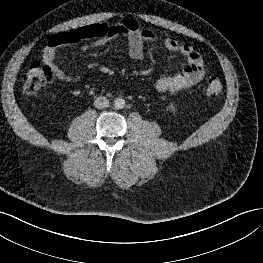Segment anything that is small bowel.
<instances>
[{"label":"small bowel","instance_id":"obj_1","mask_svg":"<svg viewBox=\"0 0 263 263\" xmlns=\"http://www.w3.org/2000/svg\"><path fill=\"white\" fill-rule=\"evenodd\" d=\"M117 36H125L129 45V56L134 60L144 57V45L157 41L154 31L141 27L132 20H120L112 24L97 23L53 35L42 54V61L49 66L54 75L63 82L73 83L79 76L67 73L55 59L59 47L88 41L83 48L102 46ZM164 47L182 55L187 64L180 72L172 76H163L156 82V89L163 93H178L199 83L205 75L202 56L188 43H181L175 37L163 39Z\"/></svg>","mask_w":263,"mask_h":263}]
</instances>
